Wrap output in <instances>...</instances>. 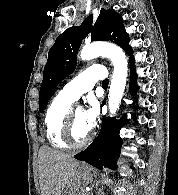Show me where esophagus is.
Listing matches in <instances>:
<instances>
[{
    "label": "esophagus",
    "mask_w": 178,
    "mask_h": 195,
    "mask_svg": "<svg viewBox=\"0 0 178 195\" xmlns=\"http://www.w3.org/2000/svg\"><path fill=\"white\" fill-rule=\"evenodd\" d=\"M82 166H86V164L85 163H82Z\"/></svg>",
    "instance_id": "obj_1"
}]
</instances>
